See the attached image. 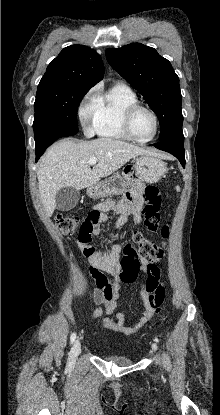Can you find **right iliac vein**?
<instances>
[{"mask_svg":"<svg viewBox=\"0 0 220 415\" xmlns=\"http://www.w3.org/2000/svg\"><path fill=\"white\" fill-rule=\"evenodd\" d=\"M81 352V343L80 341L77 339L75 340L72 349H71V353H70V358L72 361H75L76 358L78 357V355Z\"/></svg>","mask_w":220,"mask_h":415,"instance_id":"63e3f726","label":"right iliac vein"}]
</instances>
